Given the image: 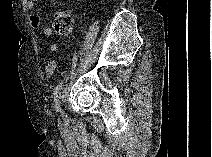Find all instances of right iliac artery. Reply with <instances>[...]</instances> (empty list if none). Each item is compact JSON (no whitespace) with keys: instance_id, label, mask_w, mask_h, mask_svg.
<instances>
[{"instance_id":"obj_1","label":"right iliac artery","mask_w":212,"mask_h":157,"mask_svg":"<svg viewBox=\"0 0 212 157\" xmlns=\"http://www.w3.org/2000/svg\"><path fill=\"white\" fill-rule=\"evenodd\" d=\"M62 87V83L57 85L54 90V100H55V109L56 111H60V89Z\"/></svg>"}]
</instances>
